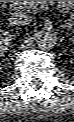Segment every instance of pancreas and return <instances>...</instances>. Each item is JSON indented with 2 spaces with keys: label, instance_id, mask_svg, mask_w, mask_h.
I'll return each mask as SVG.
<instances>
[{
  "label": "pancreas",
  "instance_id": "cf45deb5",
  "mask_svg": "<svg viewBox=\"0 0 74 122\" xmlns=\"http://www.w3.org/2000/svg\"><path fill=\"white\" fill-rule=\"evenodd\" d=\"M17 8H30L37 4V1H11Z\"/></svg>",
  "mask_w": 74,
  "mask_h": 122
}]
</instances>
